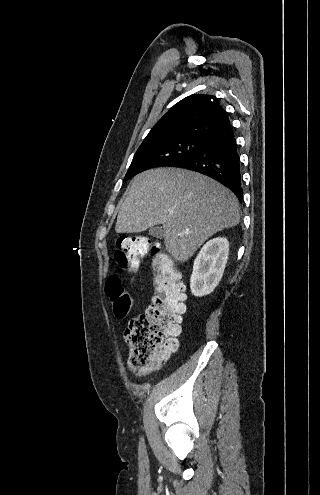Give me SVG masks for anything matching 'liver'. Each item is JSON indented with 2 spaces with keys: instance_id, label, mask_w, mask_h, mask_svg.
<instances>
[{
  "instance_id": "6515ba94",
  "label": "liver",
  "mask_w": 320,
  "mask_h": 495,
  "mask_svg": "<svg viewBox=\"0 0 320 495\" xmlns=\"http://www.w3.org/2000/svg\"><path fill=\"white\" fill-rule=\"evenodd\" d=\"M237 197L222 184L179 168L136 176L120 206L117 233H139L162 224L167 251L187 261L213 234L239 224Z\"/></svg>"
}]
</instances>
